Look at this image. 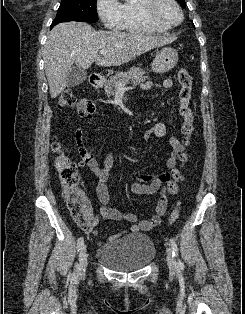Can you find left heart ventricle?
Returning <instances> with one entry per match:
<instances>
[{"instance_id":"1","label":"left heart ventricle","mask_w":245,"mask_h":314,"mask_svg":"<svg viewBox=\"0 0 245 314\" xmlns=\"http://www.w3.org/2000/svg\"><path fill=\"white\" fill-rule=\"evenodd\" d=\"M162 14L168 20L172 22H179L181 19L180 13L176 9V7L170 3H165L162 7Z\"/></svg>"}]
</instances>
